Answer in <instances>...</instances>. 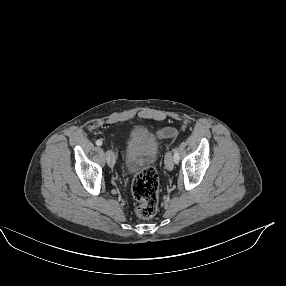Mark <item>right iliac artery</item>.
<instances>
[{
    "label": "right iliac artery",
    "mask_w": 286,
    "mask_h": 286,
    "mask_svg": "<svg viewBox=\"0 0 286 286\" xmlns=\"http://www.w3.org/2000/svg\"><path fill=\"white\" fill-rule=\"evenodd\" d=\"M96 145H97V146H101V145H102V141H101V140H97V141H96Z\"/></svg>",
    "instance_id": "obj_1"
}]
</instances>
